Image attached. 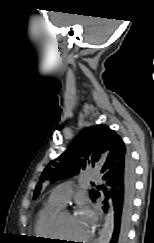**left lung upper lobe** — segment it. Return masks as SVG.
Wrapping results in <instances>:
<instances>
[{
	"mask_svg": "<svg viewBox=\"0 0 154 243\" xmlns=\"http://www.w3.org/2000/svg\"><path fill=\"white\" fill-rule=\"evenodd\" d=\"M127 152L119 135L106 125H96L85 128L74 139L68 149L56 160L51 161L43 171L40 183L46 179H58L76 175L95 162H105L110 155L117 156L119 152ZM40 183L36 187L33 198L40 192ZM97 190H90L91 199Z\"/></svg>",
	"mask_w": 154,
	"mask_h": 243,
	"instance_id": "obj_1",
	"label": "left lung upper lobe"
}]
</instances>
